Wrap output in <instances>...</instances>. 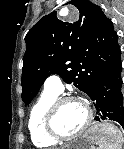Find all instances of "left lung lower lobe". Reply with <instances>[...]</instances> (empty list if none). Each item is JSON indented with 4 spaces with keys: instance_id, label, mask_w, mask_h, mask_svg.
Returning <instances> with one entry per match:
<instances>
[{
    "instance_id": "obj_1",
    "label": "left lung lower lobe",
    "mask_w": 124,
    "mask_h": 149,
    "mask_svg": "<svg viewBox=\"0 0 124 149\" xmlns=\"http://www.w3.org/2000/svg\"><path fill=\"white\" fill-rule=\"evenodd\" d=\"M122 63L104 72L88 89L87 95L96 109L94 120H112L124 128L122 88Z\"/></svg>"
}]
</instances>
